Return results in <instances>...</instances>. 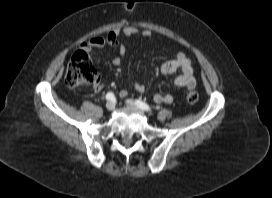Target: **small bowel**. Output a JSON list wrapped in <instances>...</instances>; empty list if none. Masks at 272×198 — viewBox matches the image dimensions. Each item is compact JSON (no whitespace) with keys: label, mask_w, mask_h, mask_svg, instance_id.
<instances>
[{"label":"small bowel","mask_w":272,"mask_h":198,"mask_svg":"<svg viewBox=\"0 0 272 198\" xmlns=\"http://www.w3.org/2000/svg\"><path fill=\"white\" fill-rule=\"evenodd\" d=\"M121 33L128 37L141 35L143 37L149 38L152 36V32L149 30H139L136 27L127 26L123 29H113L106 36L93 37L90 40L81 43L80 48L85 52H91L94 49H99L107 45L114 46L117 48L118 54L113 58L112 63L115 66H119L122 64L126 54L125 46L118 40ZM160 70L164 75H170L177 71L180 72L179 75H177L172 81L175 86L186 89H193L196 86L192 63L183 52H177L174 59L162 64ZM103 88V82L100 79H97L93 84V90L98 93L102 91ZM134 89L137 92L142 93L145 91V86L139 82H135ZM126 94V90H122L120 93L122 97H124ZM153 100L156 103L171 104L173 102V96L170 94L157 93L153 95Z\"/></svg>","instance_id":"c3829d8e"}]
</instances>
